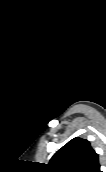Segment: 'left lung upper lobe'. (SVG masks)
I'll return each instance as SVG.
<instances>
[{
  "label": "left lung upper lobe",
  "instance_id": "left-lung-upper-lobe-1",
  "mask_svg": "<svg viewBox=\"0 0 106 172\" xmlns=\"http://www.w3.org/2000/svg\"><path fill=\"white\" fill-rule=\"evenodd\" d=\"M53 172H101L97 153L89 141L73 138L51 158Z\"/></svg>",
  "mask_w": 106,
  "mask_h": 172
}]
</instances>
